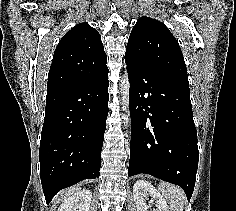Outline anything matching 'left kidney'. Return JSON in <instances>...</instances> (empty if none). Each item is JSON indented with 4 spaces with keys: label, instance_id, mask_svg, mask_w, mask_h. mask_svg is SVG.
<instances>
[{
    "label": "left kidney",
    "instance_id": "left-kidney-1",
    "mask_svg": "<svg viewBox=\"0 0 236 211\" xmlns=\"http://www.w3.org/2000/svg\"><path fill=\"white\" fill-rule=\"evenodd\" d=\"M152 197L155 200L157 209L154 211H169L166 200L161 194L146 180H138L133 186V198L137 211H147L148 206L145 198Z\"/></svg>",
    "mask_w": 236,
    "mask_h": 211
}]
</instances>
